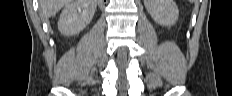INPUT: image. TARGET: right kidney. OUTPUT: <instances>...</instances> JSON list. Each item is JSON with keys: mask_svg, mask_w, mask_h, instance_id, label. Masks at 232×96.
Segmentation results:
<instances>
[{"mask_svg": "<svg viewBox=\"0 0 232 96\" xmlns=\"http://www.w3.org/2000/svg\"><path fill=\"white\" fill-rule=\"evenodd\" d=\"M97 0H71L63 9L59 21V31L67 36L81 32L92 20Z\"/></svg>", "mask_w": 232, "mask_h": 96, "instance_id": "1", "label": "right kidney"}]
</instances>
